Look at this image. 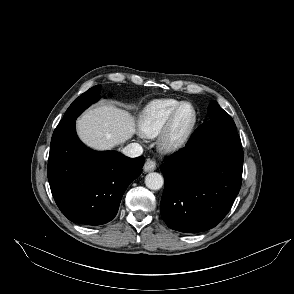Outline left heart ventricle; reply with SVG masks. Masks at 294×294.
<instances>
[{"label":"left heart ventricle","instance_id":"obj_1","mask_svg":"<svg viewBox=\"0 0 294 294\" xmlns=\"http://www.w3.org/2000/svg\"><path fill=\"white\" fill-rule=\"evenodd\" d=\"M192 116V110L190 107H185L180 116V125H185Z\"/></svg>","mask_w":294,"mask_h":294}]
</instances>
